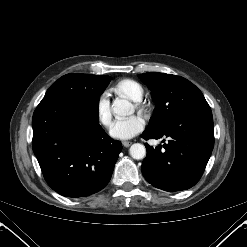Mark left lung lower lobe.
I'll return each mask as SVG.
<instances>
[{
  "mask_svg": "<svg viewBox=\"0 0 247 247\" xmlns=\"http://www.w3.org/2000/svg\"><path fill=\"white\" fill-rule=\"evenodd\" d=\"M144 139L168 137L163 148L145 144L147 156L141 170L154 187L169 191L186 190L201 178L214 146L211 110L194 112L173 121L162 130H145ZM164 142V140H163Z\"/></svg>",
  "mask_w": 247,
  "mask_h": 247,
  "instance_id": "0a47b994",
  "label": "left lung lower lobe"
}]
</instances>
